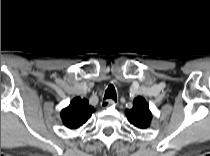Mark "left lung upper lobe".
Wrapping results in <instances>:
<instances>
[{"label":"left lung upper lobe","mask_w":210,"mask_h":156,"mask_svg":"<svg viewBox=\"0 0 210 156\" xmlns=\"http://www.w3.org/2000/svg\"><path fill=\"white\" fill-rule=\"evenodd\" d=\"M125 112L130 123L137 128L145 129L149 127L152 115L144 98H135L132 109L126 110Z\"/></svg>","instance_id":"obj_1"}]
</instances>
